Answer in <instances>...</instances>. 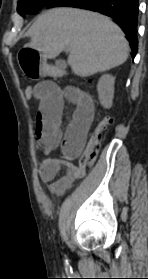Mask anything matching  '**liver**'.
<instances>
[{"instance_id": "liver-1", "label": "liver", "mask_w": 148, "mask_h": 279, "mask_svg": "<svg viewBox=\"0 0 148 279\" xmlns=\"http://www.w3.org/2000/svg\"><path fill=\"white\" fill-rule=\"evenodd\" d=\"M27 45L44 59L57 57L69 48L67 59L81 77L104 72L123 64L129 44L122 30L108 17L91 11L59 7L40 15L25 34Z\"/></svg>"}]
</instances>
